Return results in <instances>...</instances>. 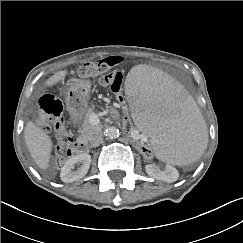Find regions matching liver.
Masks as SVG:
<instances>
[{
	"label": "liver",
	"instance_id": "6515ba94",
	"mask_svg": "<svg viewBox=\"0 0 243 243\" xmlns=\"http://www.w3.org/2000/svg\"><path fill=\"white\" fill-rule=\"evenodd\" d=\"M66 75L67 70L58 71L45 82V85L48 87L56 85L58 82L63 81ZM24 139L36 165L40 169L46 170L52 151L50 136L34 122L28 121L24 129Z\"/></svg>",
	"mask_w": 243,
	"mask_h": 243
}]
</instances>
